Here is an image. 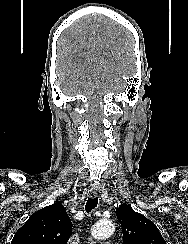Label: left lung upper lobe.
<instances>
[{
    "instance_id": "obj_1",
    "label": "left lung upper lobe",
    "mask_w": 188,
    "mask_h": 244,
    "mask_svg": "<svg viewBox=\"0 0 188 244\" xmlns=\"http://www.w3.org/2000/svg\"><path fill=\"white\" fill-rule=\"evenodd\" d=\"M116 216L122 227L124 244H166L156 225L129 205H120Z\"/></svg>"
}]
</instances>
